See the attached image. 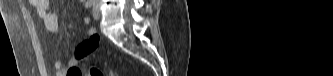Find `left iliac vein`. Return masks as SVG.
Wrapping results in <instances>:
<instances>
[{
    "instance_id": "4c4485c4",
    "label": "left iliac vein",
    "mask_w": 333,
    "mask_h": 76,
    "mask_svg": "<svg viewBox=\"0 0 333 76\" xmlns=\"http://www.w3.org/2000/svg\"><path fill=\"white\" fill-rule=\"evenodd\" d=\"M93 17L95 19H99L100 18V11H99V7H98V4H95L94 7H93Z\"/></svg>"
}]
</instances>
